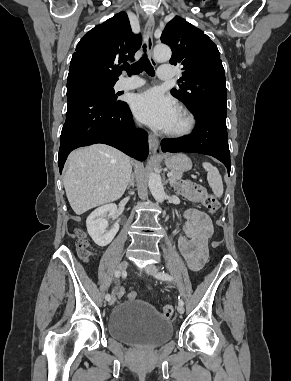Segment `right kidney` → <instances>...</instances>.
Returning <instances> with one entry per match:
<instances>
[{
    "label": "right kidney",
    "mask_w": 291,
    "mask_h": 381,
    "mask_svg": "<svg viewBox=\"0 0 291 381\" xmlns=\"http://www.w3.org/2000/svg\"><path fill=\"white\" fill-rule=\"evenodd\" d=\"M107 214L113 218L118 216L115 204H106L94 210L86 220L87 231L93 241L101 247L107 246L119 231V224L116 222L109 230Z\"/></svg>",
    "instance_id": "obj_1"
}]
</instances>
